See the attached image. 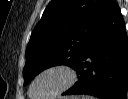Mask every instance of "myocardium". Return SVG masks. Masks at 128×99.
<instances>
[{"mask_svg":"<svg viewBox=\"0 0 128 99\" xmlns=\"http://www.w3.org/2000/svg\"><path fill=\"white\" fill-rule=\"evenodd\" d=\"M53 71H61L64 72L67 76V80L66 82L59 88L57 89L55 92H53L50 95L47 96H43V97H35L32 94V90H33V86L36 83V81L44 74L48 73V72H53ZM78 79V73L77 70L70 64L68 63H58V64H53L50 66H47L45 68H43L42 70H40L35 77L33 78V80L30 83L29 86V96L31 98H42V99H51V98H55L61 94H63L64 92L68 91L71 87L74 86V84L77 82Z\"/></svg>","mask_w":128,"mask_h":99,"instance_id":"myocardium-1","label":"myocardium"}]
</instances>
